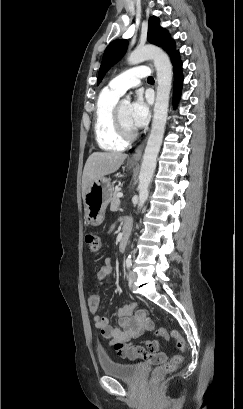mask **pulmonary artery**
<instances>
[{
	"mask_svg": "<svg viewBox=\"0 0 243 409\" xmlns=\"http://www.w3.org/2000/svg\"><path fill=\"white\" fill-rule=\"evenodd\" d=\"M147 75L148 70L144 66H137L114 77L108 82L107 86L122 95L129 88L138 85L140 80L147 77Z\"/></svg>",
	"mask_w": 243,
	"mask_h": 409,
	"instance_id": "pulmonary-artery-1",
	"label": "pulmonary artery"
}]
</instances>
